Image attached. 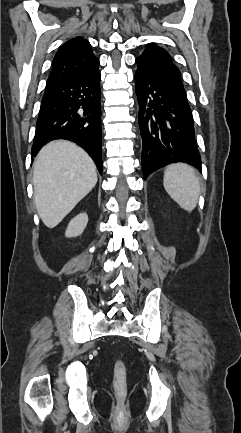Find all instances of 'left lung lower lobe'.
Masks as SVG:
<instances>
[{
  "mask_svg": "<svg viewBox=\"0 0 241 433\" xmlns=\"http://www.w3.org/2000/svg\"><path fill=\"white\" fill-rule=\"evenodd\" d=\"M135 81L144 177L176 162L188 163L201 171L189 105L160 76L136 71Z\"/></svg>",
  "mask_w": 241,
  "mask_h": 433,
  "instance_id": "0a47b994",
  "label": "left lung lower lobe"
}]
</instances>
